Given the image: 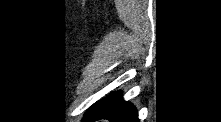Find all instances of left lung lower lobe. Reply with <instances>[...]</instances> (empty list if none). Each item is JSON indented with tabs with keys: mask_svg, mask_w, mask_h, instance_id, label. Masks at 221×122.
Wrapping results in <instances>:
<instances>
[{
	"mask_svg": "<svg viewBox=\"0 0 221 122\" xmlns=\"http://www.w3.org/2000/svg\"><path fill=\"white\" fill-rule=\"evenodd\" d=\"M101 118L109 119L112 122H139L136 109L123 100L120 92L111 93L106 99L98 101L89 108L84 116L86 121Z\"/></svg>",
	"mask_w": 221,
	"mask_h": 122,
	"instance_id": "0a47b994",
	"label": "left lung lower lobe"
}]
</instances>
